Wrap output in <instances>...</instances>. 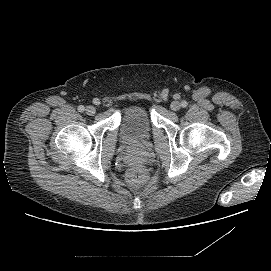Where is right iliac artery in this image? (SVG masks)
Segmentation results:
<instances>
[{"instance_id": "1", "label": "right iliac artery", "mask_w": 271, "mask_h": 271, "mask_svg": "<svg viewBox=\"0 0 271 271\" xmlns=\"http://www.w3.org/2000/svg\"><path fill=\"white\" fill-rule=\"evenodd\" d=\"M78 111H79V112H84V111H85V107H84L83 105H80V106L78 107Z\"/></svg>"}]
</instances>
